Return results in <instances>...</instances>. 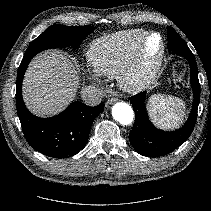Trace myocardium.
Masks as SVG:
<instances>
[{
    "label": "myocardium",
    "mask_w": 211,
    "mask_h": 211,
    "mask_svg": "<svg viewBox=\"0 0 211 211\" xmlns=\"http://www.w3.org/2000/svg\"><path fill=\"white\" fill-rule=\"evenodd\" d=\"M159 39V51L152 62H145V47L152 37ZM164 37L154 31L146 32L118 73L119 85L127 92L137 93L148 88L159 76L166 58Z\"/></svg>",
    "instance_id": "f54148a6"
}]
</instances>
